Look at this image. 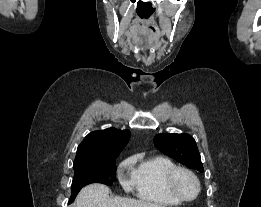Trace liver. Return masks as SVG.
Listing matches in <instances>:
<instances>
[{"label": "liver", "mask_w": 261, "mask_h": 207, "mask_svg": "<svg viewBox=\"0 0 261 207\" xmlns=\"http://www.w3.org/2000/svg\"><path fill=\"white\" fill-rule=\"evenodd\" d=\"M109 188L103 184L85 186L70 207H164L160 204L126 197H109Z\"/></svg>", "instance_id": "1"}]
</instances>
